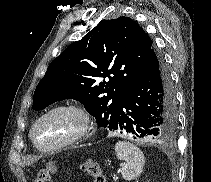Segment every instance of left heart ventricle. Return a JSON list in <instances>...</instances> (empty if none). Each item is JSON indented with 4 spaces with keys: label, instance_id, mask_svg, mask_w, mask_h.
Segmentation results:
<instances>
[{
    "label": "left heart ventricle",
    "instance_id": "obj_1",
    "mask_svg": "<svg viewBox=\"0 0 211 182\" xmlns=\"http://www.w3.org/2000/svg\"><path fill=\"white\" fill-rule=\"evenodd\" d=\"M80 126L81 119L74 112H55L39 123L35 130V138L40 145L50 146L75 134Z\"/></svg>",
    "mask_w": 211,
    "mask_h": 182
}]
</instances>
